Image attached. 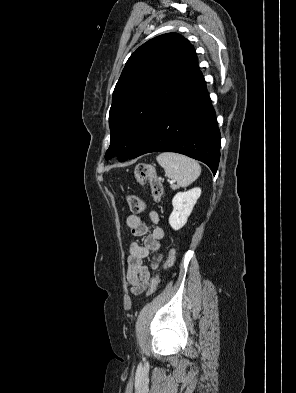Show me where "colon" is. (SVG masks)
Returning <instances> with one entry per match:
<instances>
[{
  "label": "colon",
  "mask_w": 296,
  "mask_h": 393,
  "mask_svg": "<svg viewBox=\"0 0 296 393\" xmlns=\"http://www.w3.org/2000/svg\"><path fill=\"white\" fill-rule=\"evenodd\" d=\"M135 177L137 182L142 186H145L147 183L150 184L152 197L155 201H159L162 198L163 186L155 172L154 167L151 164H138L135 169ZM127 203L133 213H141L146 209V202L142 198L135 195H128ZM174 257L175 250L170 249L167 260L164 263V269L169 268L173 264ZM160 281V275L155 276L151 280L149 288L147 290V296H151L155 293L160 284Z\"/></svg>",
  "instance_id": "5ec220e1"
}]
</instances>
